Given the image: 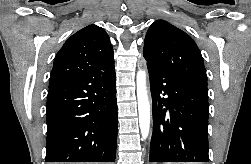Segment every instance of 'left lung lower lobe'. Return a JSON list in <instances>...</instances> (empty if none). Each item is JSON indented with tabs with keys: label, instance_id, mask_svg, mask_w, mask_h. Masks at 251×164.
Segmentation results:
<instances>
[{
	"label": "left lung lower lobe",
	"instance_id": "0a47b994",
	"mask_svg": "<svg viewBox=\"0 0 251 164\" xmlns=\"http://www.w3.org/2000/svg\"><path fill=\"white\" fill-rule=\"evenodd\" d=\"M147 67L153 105L150 162H208L207 85Z\"/></svg>",
	"mask_w": 251,
	"mask_h": 164
}]
</instances>
